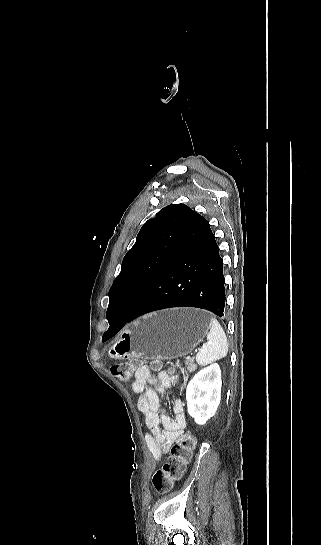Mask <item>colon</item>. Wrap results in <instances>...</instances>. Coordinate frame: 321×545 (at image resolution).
Returning <instances> with one entry per match:
<instances>
[{"instance_id": "1", "label": "colon", "mask_w": 321, "mask_h": 545, "mask_svg": "<svg viewBox=\"0 0 321 545\" xmlns=\"http://www.w3.org/2000/svg\"><path fill=\"white\" fill-rule=\"evenodd\" d=\"M135 363H118L111 367V373L122 383H130L132 380ZM153 366L157 368L159 361L155 360ZM195 447V438L193 436H185L179 439L171 448V455L166 463L158 469L153 477L152 484L155 490L159 493H167L175 482L180 480L186 470L193 450Z\"/></svg>"}]
</instances>
